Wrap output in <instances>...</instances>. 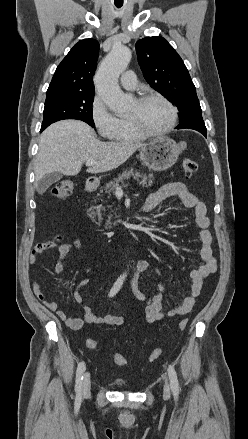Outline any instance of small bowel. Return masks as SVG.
Here are the masks:
<instances>
[{
    "mask_svg": "<svg viewBox=\"0 0 248 439\" xmlns=\"http://www.w3.org/2000/svg\"><path fill=\"white\" fill-rule=\"evenodd\" d=\"M174 198H179L185 207L192 209L194 212V222L200 229V255L203 260V264L198 269L193 270L190 273L189 293L185 296L183 301L177 304L173 309L166 311L162 308L164 287L161 283L157 284V292L153 294H147L141 291L138 287V280L143 272L153 267L155 271L159 273V268L157 266H153L148 260H141L137 263L131 279V290L137 299L146 303V320L149 323L166 317L185 315L189 313L193 309L196 303V298L201 292L203 280L217 271V260L212 251V234L209 229L210 220L207 217V207L202 201L199 200L198 197L188 190L184 183L174 182L161 186L156 192L147 197L143 205V210L145 212H149L156 208L160 203ZM80 245L81 244L79 241L66 242L61 245H55L54 243L37 245L30 255V264H35L39 255H41L47 249L56 247L57 260L53 267V273L60 274L64 269V261L69 252L74 248H79ZM89 282L90 279L84 278L80 280L73 288V298L81 307L83 312V316L80 318L68 317L66 313L59 307L57 302L51 300L44 294L41 285L37 280L33 281L32 288L35 296L47 308L55 312L57 316L71 329L77 330L86 324H104L111 326L122 325L124 322L123 317L115 314L99 316L83 302L81 289L87 286Z\"/></svg>",
    "mask_w": 248,
    "mask_h": 439,
    "instance_id": "1",
    "label": "small bowel"
}]
</instances>
